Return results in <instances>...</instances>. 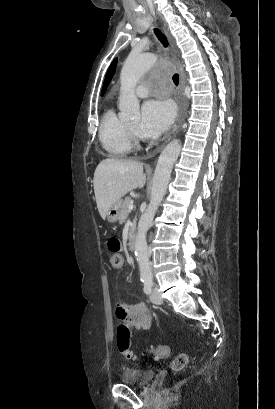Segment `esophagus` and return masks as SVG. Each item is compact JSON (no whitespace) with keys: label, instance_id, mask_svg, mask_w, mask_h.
Returning a JSON list of instances; mask_svg holds the SVG:
<instances>
[{"label":"esophagus","instance_id":"esophagus-1","mask_svg":"<svg viewBox=\"0 0 275 409\" xmlns=\"http://www.w3.org/2000/svg\"><path fill=\"white\" fill-rule=\"evenodd\" d=\"M164 31H165L167 38L171 41V36L167 32V30H164ZM185 85H186V79L183 74L182 68L179 65V91L182 96H184ZM176 129H177V125L173 127L172 134L175 132ZM170 138H171V135L167 138V140H169Z\"/></svg>","mask_w":275,"mask_h":409}]
</instances>
